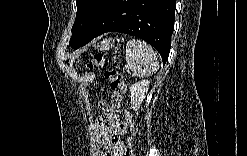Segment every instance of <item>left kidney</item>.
Here are the masks:
<instances>
[{
    "instance_id": "left-kidney-1",
    "label": "left kidney",
    "mask_w": 247,
    "mask_h": 156,
    "mask_svg": "<svg viewBox=\"0 0 247 156\" xmlns=\"http://www.w3.org/2000/svg\"><path fill=\"white\" fill-rule=\"evenodd\" d=\"M149 83L150 82L148 80H142L131 85V107L133 110L138 111L140 109V106L149 89Z\"/></svg>"
}]
</instances>
